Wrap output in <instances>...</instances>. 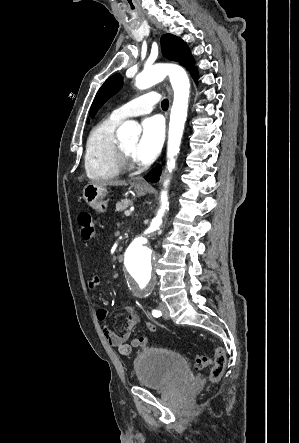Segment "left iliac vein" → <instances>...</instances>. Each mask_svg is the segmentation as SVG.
Masks as SVG:
<instances>
[{
    "instance_id": "4c4485c4",
    "label": "left iliac vein",
    "mask_w": 299,
    "mask_h": 443,
    "mask_svg": "<svg viewBox=\"0 0 299 443\" xmlns=\"http://www.w3.org/2000/svg\"><path fill=\"white\" fill-rule=\"evenodd\" d=\"M159 308L162 311L163 317L165 319H169V310H168L167 305L162 302V303H160Z\"/></svg>"
}]
</instances>
